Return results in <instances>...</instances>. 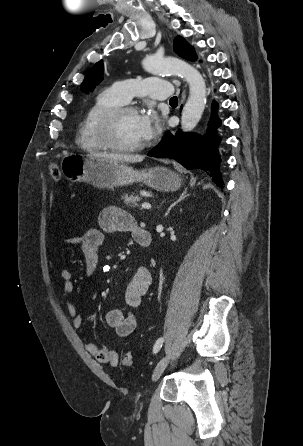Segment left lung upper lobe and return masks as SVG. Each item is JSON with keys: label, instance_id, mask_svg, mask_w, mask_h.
<instances>
[{"label": "left lung upper lobe", "instance_id": "5c2ea615", "mask_svg": "<svg viewBox=\"0 0 303 446\" xmlns=\"http://www.w3.org/2000/svg\"><path fill=\"white\" fill-rule=\"evenodd\" d=\"M174 51L186 60H196L194 49L181 36L176 37L174 40ZM103 69V61L101 60L88 71L80 87L82 92L88 93L92 91L101 82Z\"/></svg>", "mask_w": 303, "mask_h": 446}]
</instances>
